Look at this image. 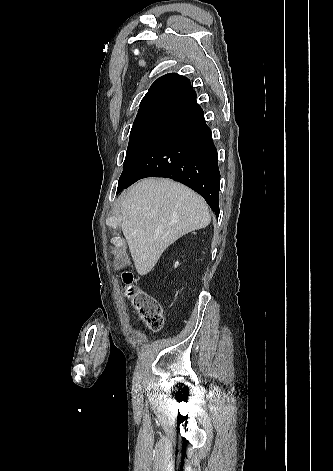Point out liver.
Segmentation results:
<instances>
[{
	"instance_id": "obj_1",
	"label": "liver",
	"mask_w": 333,
	"mask_h": 471,
	"mask_svg": "<svg viewBox=\"0 0 333 471\" xmlns=\"http://www.w3.org/2000/svg\"><path fill=\"white\" fill-rule=\"evenodd\" d=\"M120 201L121 229L140 275L148 274L177 239L211 220L205 200L170 179H144Z\"/></svg>"
}]
</instances>
